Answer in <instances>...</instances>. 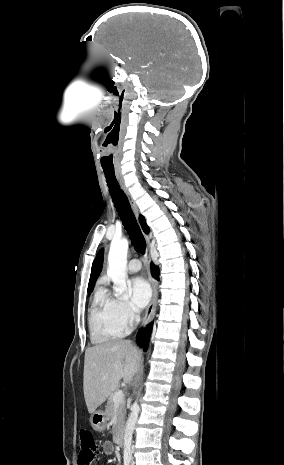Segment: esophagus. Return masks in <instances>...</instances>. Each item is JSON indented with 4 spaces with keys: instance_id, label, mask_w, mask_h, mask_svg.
<instances>
[{
    "instance_id": "esophagus-1",
    "label": "esophagus",
    "mask_w": 284,
    "mask_h": 465,
    "mask_svg": "<svg viewBox=\"0 0 284 465\" xmlns=\"http://www.w3.org/2000/svg\"><path fill=\"white\" fill-rule=\"evenodd\" d=\"M115 175L117 177V180H118L122 190L124 191V193L128 197V200L130 202V205H131L135 215L138 216V207H137L136 202H135L134 198L132 197L131 193L128 191V189L126 188V186L124 184L121 172L119 170H115ZM145 239H146V242H147L146 262H147V267H148V279H149V282H150L151 287H152V298H151V301H150V303H149V305H148V307L146 309L145 316L143 318V322H142L143 326H146L147 324H149V322H151V320H152V318L154 316V313H155L156 304H157V297H158L157 283L154 280V278L151 276L150 269H149V265H150V253H149L150 239H149V237L147 235H145Z\"/></svg>"
}]
</instances>
